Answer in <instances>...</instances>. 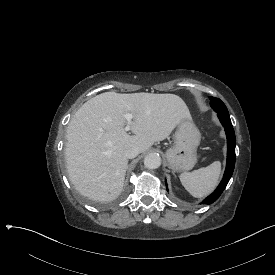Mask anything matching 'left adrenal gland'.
<instances>
[{"label":"left adrenal gland","instance_id":"obj_1","mask_svg":"<svg viewBox=\"0 0 275 275\" xmlns=\"http://www.w3.org/2000/svg\"><path fill=\"white\" fill-rule=\"evenodd\" d=\"M172 174H173V177H174V179H175V177H176L175 173H174V172H172Z\"/></svg>","mask_w":275,"mask_h":275}]
</instances>
